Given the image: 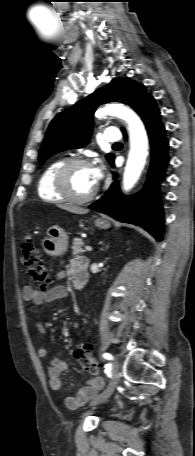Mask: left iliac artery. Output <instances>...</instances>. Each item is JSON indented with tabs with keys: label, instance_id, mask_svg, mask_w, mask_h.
<instances>
[{
	"label": "left iliac artery",
	"instance_id": "44dca946",
	"mask_svg": "<svg viewBox=\"0 0 195 456\" xmlns=\"http://www.w3.org/2000/svg\"><path fill=\"white\" fill-rule=\"evenodd\" d=\"M103 357H104L105 359H108V360H113L112 355L109 354V353H104V354H103Z\"/></svg>",
	"mask_w": 195,
	"mask_h": 456
}]
</instances>
